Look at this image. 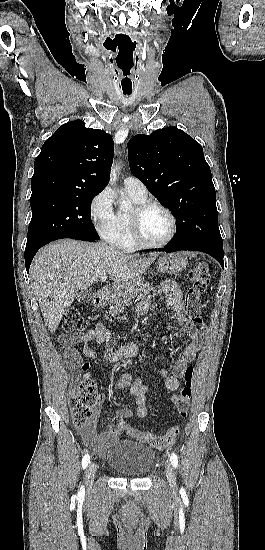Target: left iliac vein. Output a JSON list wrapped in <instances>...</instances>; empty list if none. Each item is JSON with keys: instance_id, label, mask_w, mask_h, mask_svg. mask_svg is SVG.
<instances>
[{"instance_id": "4c4485c4", "label": "left iliac vein", "mask_w": 265, "mask_h": 550, "mask_svg": "<svg viewBox=\"0 0 265 550\" xmlns=\"http://www.w3.org/2000/svg\"><path fill=\"white\" fill-rule=\"evenodd\" d=\"M165 474H166V477L168 479L169 484L171 486H175V483H176L175 472H174V469H173V467L170 463L166 464Z\"/></svg>"}]
</instances>
